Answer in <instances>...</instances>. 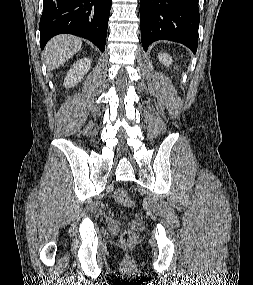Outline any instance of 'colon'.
<instances>
[{"instance_id": "colon-1", "label": "colon", "mask_w": 253, "mask_h": 285, "mask_svg": "<svg viewBox=\"0 0 253 285\" xmlns=\"http://www.w3.org/2000/svg\"><path fill=\"white\" fill-rule=\"evenodd\" d=\"M115 200L118 204L123 206H132L133 201L124 189H117L115 192ZM136 233L132 230H125L120 237V243L123 246H131L136 241Z\"/></svg>"}]
</instances>
